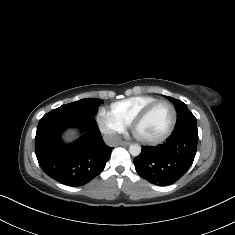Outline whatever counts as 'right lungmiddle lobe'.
<instances>
[{
	"label": "right lung middle lobe",
	"instance_id": "1",
	"mask_svg": "<svg viewBox=\"0 0 235 235\" xmlns=\"http://www.w3.org/2000/svg\"><path fill=\"white\" fill-rule=\"evenodd\" d=\"M102 103L103 101L98 98H85L67 105H62L57 108V110L78 112L81 114L94 116L98 111V106Z\"/></svg>",
	"mask_w": 235,
	"mask_h": 235
}]
</instances>
